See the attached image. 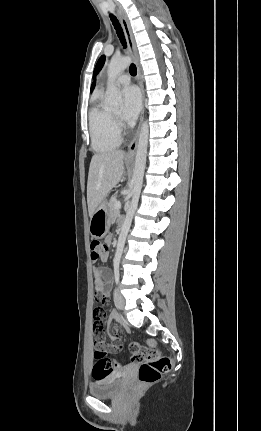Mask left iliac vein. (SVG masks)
Returning a JSON list of instances; mask_svg holds the SVG:
<instances>
[{
  "label": "left iliac vein",
  "mask_w": 261,
  "mask_h": 431,
  "mask_svg": "<svg viewBox=\"0 0 261 431\" xmlns=\"http://www.w3.org/2000/svg\"><path fill=\"white\" fill-rule=\"evenodd\" d=\"M114 301L115 305L119 310H123L125 306V300L122 294L119 292V289L116 288L114 291Z\"/></svg>",
  "instance_id": "4c4485c4"
}]
</instances>
